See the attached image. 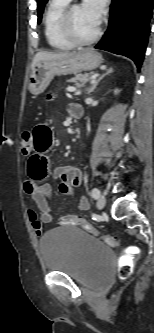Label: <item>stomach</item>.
<instances>
[{
	"mask_svg": "<svg viewBox=\"0 0 154 333\" xmlns=\"http://www.w3.org/2000/svg\"><path fill=\"white\" fill-rule=\"evenodd\" d=\"M103 63L100 53L85 49L73 56L52 61H41L31 70L29 91L38 95L43 93L55 76L91 71Z\"/></svg>",
	"mask_w": 154,
	"mask_h": 333,
	"instance_id": "stomach-1",
	"label": "stomach"
}]
</instances>
